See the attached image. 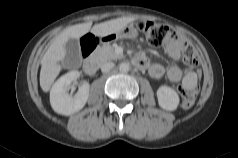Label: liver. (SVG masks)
I'll return each mask as SVG.
<instances>
[{"label":"liver","instance_id":"obj_1","mask_svg":"<svg viewBox=\"0 0 238 158\" xmlns=\"http://www.w3.org/2000/svg\"><path fill=\"white\" fill-rule=\"evenodd\" d=\"M134 21L132 17H122L109 20L92 27V22L77 24L63 30L54 38L41 60L40 86L48 92L62 69V62L66 55L65 44L68 39H79L91 31L96 36L104 37L113 34Z\"/></svg>","mask_w":238,"mask_h":158}]
</instances>
